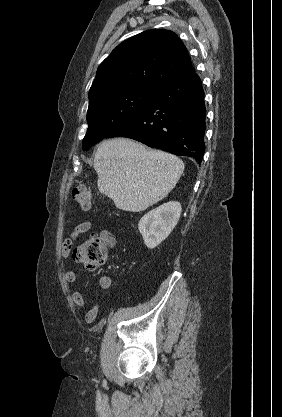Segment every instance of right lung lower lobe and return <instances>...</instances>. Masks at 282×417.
<instances>
[{
	"instance_id": "obj_1",
	"label": "right lung lower lobe",
	"mask_w": 282,
	"mask_h": 417,
	"mask_svg": "<svg viewBox=\"0 0 282 417\" xmlns=\"http://www.w3.org/2000/svg\"><path fill=\"white\" fill-rule=\"evenodd\" d=\"M204 91L198 75L164 86L138 112L105 138L127 137L149 147L195 158L200 164L205 144Z\"/></svg>"
}]
</instances>
